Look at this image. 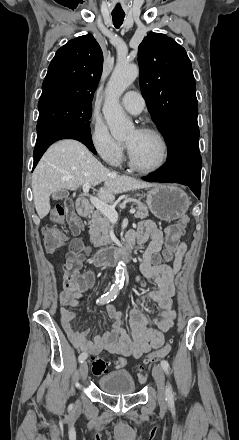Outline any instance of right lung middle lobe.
<instances>
[{
    "mask_svg": "<svg viewBox=\"0 0 239 440\" xmlns=\"http://www.w3.org/2000/svg\"><path fill=\"white\" fill-rule=\"evenodd\" d=\"M37 131L50 125H68L90 132L91 103L81 99L54 98L38 103Z\"/></svg>",
    "mask_w": 239,
    "mask_h": 440,
    "instance_id": "right-lung-middle-lobe-1",
    "label": "right lung middle lobe"
}]
</instances>
